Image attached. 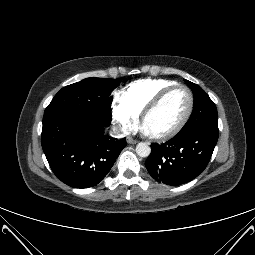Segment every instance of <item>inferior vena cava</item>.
<instances>
[{"mask_svg": "<svg viewBox=\"0 0 255 255\" xmlns=\"http://www.w3.org/2000/svg\"><path fill=\"white\" fill-rule=\"evenodd\" d=\"M113 134L117 137V138H121V137H125L127 135V131L124 129H119L115 126H113Z\"/></svg>", "mask_w": 255, "mask_h": 255, "instance_id": "obj_1", "label": "inferior vena cava"}]
</instances>
